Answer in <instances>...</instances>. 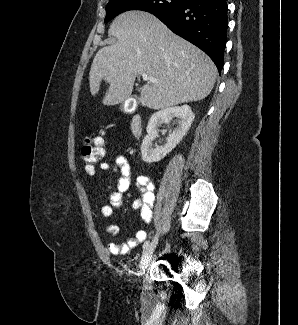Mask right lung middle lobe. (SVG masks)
<instances>
[{
  "instance_id": "right-lung-middle-lobe-1",
  "label": "right lung middle lobe",
  "mask_w": 298,
  "mask_h": 325,
  "mask_svg": "<svg viewBox=\"0 0 298 325\" xmlns=\"http://www.w3.org/2000/svg\"><path fill=\"white\" fill-rule=\"evenodd\" d=\"M186 2L187 0H113L106 6L105 23L128 10H142L156 15L179 8Z\"/></svg>"
}]
</instances>
